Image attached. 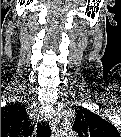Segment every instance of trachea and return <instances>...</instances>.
<instances>
[{
	"label": "trachea",
	"instance_id": "3493384b",
	"mask_svg": "<svg viewBox=\"0 0 121 137\" xmlns=\"http://www.w3.org/2000/svg\"><path fill=\"white\" fill-rule=\"evenodd\" d=\"M39 125H40V129L45 128L44 124H43V125H41V123H40Z\"/></svg>",
	"mask_w": 121,
	"mask_h": 137
}]
</instances>
